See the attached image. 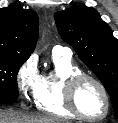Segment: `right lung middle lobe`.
<instances>
[{
	"label": "right lung middle lobe",
	"instance_id": "obj_1",
	"mask_svg": "<svg viewBox=\"0 0 118 123\" xmlns=\"http://www.w3.org/2000/svg\"><path fill=\"white\" fill-rule=\"evenodd\" d=\"M26 60L22 57L0 55V100L14 101L18 98L17 73Z\"/></svg>",
	"mask_w": 118,
	"mask_h": 123
}]
</instances>
